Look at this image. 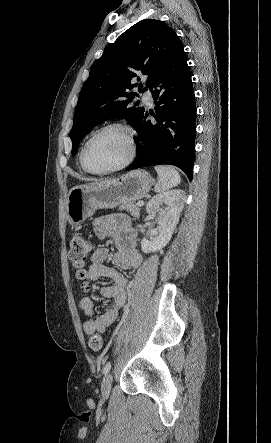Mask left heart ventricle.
Returning <instances> with one entry per match:
<instances>
[{"label": "left heart ventricle", "instance_id": "1", "mask_svg": "<svg viewBox=\"0 0 271 443\" xmlns=\"http://www.w3.org/2000/svg\"><path fill=\"white\" fill-rule=\"evenodd\" d=\"M129 143L120 129H108L95 137L86 151L87 163L95 169H107L121 163L127 156Z\"/></svg>", "mask_w": 271, "mask_h": 443}]
</instances>
